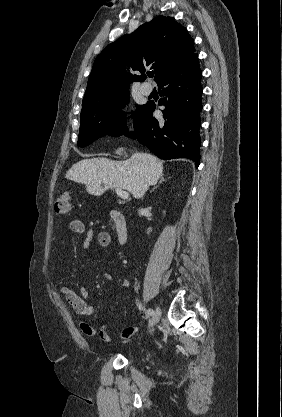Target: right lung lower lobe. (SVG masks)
<instances>
[{
  "mask_svg": "<svg viewBox=\"0 0 282 417\" xmlns=\"http://www.w3.org/2000/svg\"><path fill=\"white\" fill-rule=\"evenodd\" d=\"M202 73L199 60L175 70L158 83L165 106L163 120L153 117L156 105L148 102L134 120L135 131L126 136L137 138L159 158H188L200 163V117L202 109ZM125 134V133H123ZM121 134V135H123Z\"/></svg>",
  "mask_w": 282,
  "mask_h": 417,
  "instance_id": "obj_1",
  "label": "right lung lower lobe"
}]
</instances>
